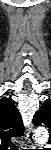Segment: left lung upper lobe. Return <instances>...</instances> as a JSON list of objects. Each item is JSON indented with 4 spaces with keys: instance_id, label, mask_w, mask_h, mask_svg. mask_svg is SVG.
Returning a JSON list of instances; mask_svg holds the SVG:
<instances>
[{
    "instance_id": "left-lung-upper-lobe-1",
    "label": "left lung upper lobe",
    "mask_w": 51,
    "mask_h": 150,
    "mask_svg": "<svg viewBox=\"0 0 51 150\" xmlns=\"http://www.w3.org/2000/svg\"><path fill=\"white\" fill-rule=\"evenodd\" d=\"M33 123L35 126L47 127L51 131V100L45 101L35 113Z\"/></svg>"
}]
</instances>
